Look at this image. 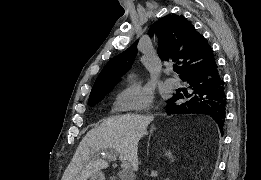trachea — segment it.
I'll list each match as a JSON object with an SVG mask.
<instances>
[{"instance_id": "1", "label": "trachea", "mask_w": 261, "mask_h": 180, "mask_svg": "<svg viewBox=\"0 0 261 180\" xmlns=\"http://www.w3.org/2000/svg\"><path fill=\"white\" fill-rule=\"evenodd\" d=\"M178 70H179V67L174 66V71H175V72H178Z\"/></svg>"}]
</instances>
